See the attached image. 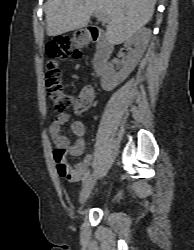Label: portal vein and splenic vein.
Listing matches in <instances>:
<instances>
[{
  "instance_id": "portal-vein-and-splenic-vein-1",
  "label": "portal vein and splenic vein",
  "mask_w": 194,
  "mask_h": 250,
  "mask_svg": "<svg viewBox=\"0 0 194 250\" xmlns=\"http://www.w3.org/2000/svg\"><path fill=\"white\" fill-rule=\"evenodd\" d=\"M95 16L98 20L102 21V23H106L108 21V18L101 13H95Z\"/></svg>"
}]
</instances>
